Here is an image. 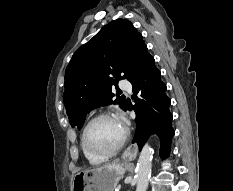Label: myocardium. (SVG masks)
Returning <instances> with one entry per match:
<instances>
[{"instance_id":"f54148a6","label":"myocardium","mask_w":233,"mask_h":191,"mask_svg":"<svg viewBox=\"0 0 233 191\" xmlns=\"http://www.w3.org/2000/svg\"><path fill=\"white\" fill-rule=\"evenodd\" d=\"M100 119H112V120H117L119 121V119L110 114V113H100V114H97L96 116H94L93 118H91L88 123L85 125L84 129H83V133H82V145H83V148L84 150L92 157H95V158H100V159H105L107 157H110L112 155H114L115 153H117L123 146L124 144L126 143L127 141V138H128V129L124 127V133H123V136L121 138V140L118 142L117 145H115L112 149H110L109 151H106V152H96L94 150H92L89 145H88V132L91 128V126L98 120Z\"/></svg>"}]
</instances>
